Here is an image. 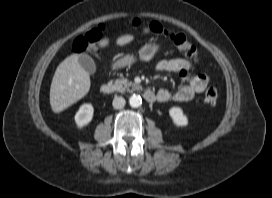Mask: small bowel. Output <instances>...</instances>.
Listing matches in <instances>:
<instances>
[{"mask_svg":"<svg viewBox=\"0 0 272 198\" xmlns=\"http://www.w3.org/2000/svg\"><path fill=\"white\" fill-rule=\"evenodd\" d=\"M159 71L177 73L185 82L175 92L161 89L157 92L158 102H188L197 94L202 93L210 84V78L205 74H193L192 63L183 58L161 59L157 62Z\"/></svg>","mask_w":272,"mask_h":198,"instance_id":"small-bowel-1","label":"small bowel"}]
</instances>
